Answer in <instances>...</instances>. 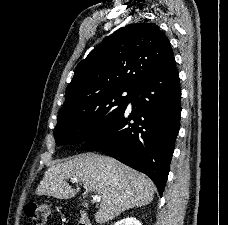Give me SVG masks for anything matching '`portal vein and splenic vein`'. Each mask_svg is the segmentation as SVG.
I'll return each mask as SVG.
<instances>
[{
    "mask_svg": "<svg viewBox=\"0 0 228 225\" xmlns=\"http://www.w3.org/2000/svg\"><path fill=\"white\" fill-rule=\"evenodd\" d=\"M72 181H74V183H77V179H72ZM87 192L91 193L92 189L88 188ZM92 199H93V201H95V203H100V201H101V197H98V195H94V197H92Z\"/></svg>",
    "mask_w": 228,
    "mask_h": 225,
    "instance_id": "1",
    "label": "portal vein and splenic vein"
}]
</instances>
